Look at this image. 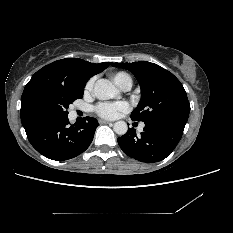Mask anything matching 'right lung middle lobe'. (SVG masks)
<instances>
[{"label": "right lung middle lobe", "instance_id": "right-lung-middle-lobe-1", "mask_svg": "<svg viewBox=\"0 0 233 233\" xmlns=\"http://www.w3.org/2000/svg\"><path fill=\"white\" fill-rule=\"evenodd\" d=\"M83 91V88L46 90L37 97L36 109L46 121L67 118L69 105L76 99L82 98Z\"/></svg>", "mask_w": 233, "mask_h": 233}]
</instances>
